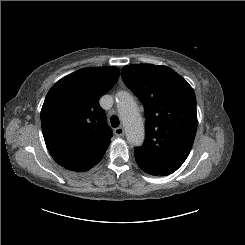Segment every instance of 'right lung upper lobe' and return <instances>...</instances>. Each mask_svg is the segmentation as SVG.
<instances>
[{"label":"right lung upper lobe","instance_id":"obj_1","mask_svg":"<svg viewBox=\"0 0 245 245\" xmlns=\"http://www.w3.org/2000/svg\"><path fill=\"white\" fill-rule=\"evenodd\" d=\"M118 77L117 67H88L61 78L49 90L41 125L46 146L61 166L83 172L103 157L113 132L99 99Z\"/></svg>","mask_w":245,"mask_h":245}]
</instances>
